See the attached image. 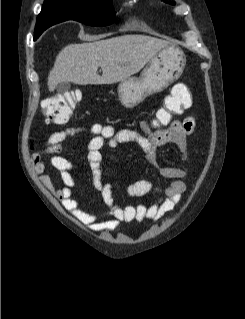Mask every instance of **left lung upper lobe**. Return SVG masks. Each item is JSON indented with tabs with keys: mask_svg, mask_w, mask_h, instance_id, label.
<instances>
[{
	"mask_svg": "<svg viewBox=\"0 0 245 319\" xmlns=\"http://www.w3.org/2000/svg\"><path fill=\"white\" fill-rule=\"evenodd\" d=\"M170 4H175V2H169Z\"/></svg>",
	"mask_w": 245,
	"mask_h": 319,
	"instance_id": "1",
	"label": "left lung upper lobe"
}]
</instances>
